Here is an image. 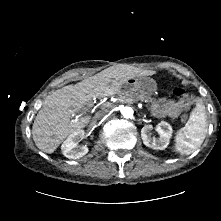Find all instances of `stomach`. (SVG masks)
I'll use <instances>...</instances> for the list:
<instances>
[{"label":"stomach","mask_w":221,"mask_h":221,"mask_svg":"<svg viewBox=\"0 0 221 221\" xmlns=\"http://www.w3.org/2000/svg\"><path fill=\"white\" fill-rule=\"evenodd\" d=\"M123 90L134 96L149 95L152 93L153 80L148 77H132L123 84Z\"/></svg>","instance_id":"0dacf381"}]
</instances>
